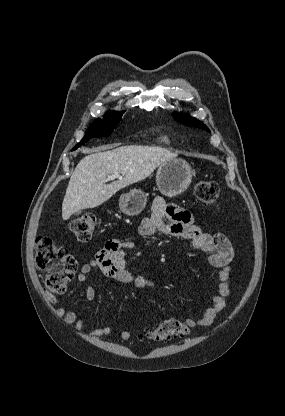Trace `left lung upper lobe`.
<instances>
[{
    "mask_svg": "<svg viewBox=\"0 0 285 416\" xmlns=\"http://www.w3.org/2000/svg\"><path fill=\"white\" fill-rule=\"evenodd\" d=\"M173 116L178 122L182 124L205 129L206 131L210 132L208 127L205 124H203L201 121L197 120L196 118L183 115V114H179V113H173Z\"/></svg>",
    "mask_w": 285,
    "mask_h": 416,
    "instance_id": "left-lung-upper-lobe-1",
    "label": "left lung upper lobe"
}]
</instances>
